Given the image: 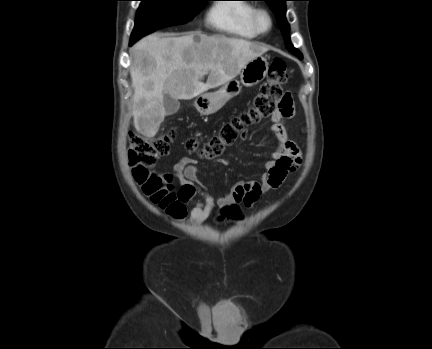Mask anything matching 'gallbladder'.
<instances>
[{
    "mask_svg": "<svg viewBox=\"0 0 432 349\" xmlns=\"http://www.w3.org/2000/svg\"><path fill=\"white\" fill-rule=\"evenodd\" d=\"M163 105L167 116L175 114L180 107L178 99H174L168 94L164 95Z\"/></svg>",
    "mask_w": 432,
    "mask_h": 349,
    "instance_id": "gallbladder-1",
    "label": "gallbladder"
}]
</instances>
